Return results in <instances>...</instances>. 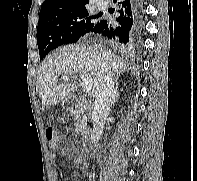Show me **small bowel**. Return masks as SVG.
Returning <instances> with one entry per match:
<instances>
[{"label":"small bowel","instance_id":"obj_1","mask_svg":"<svg viewBox=\"0 0 197 181\" xmlns=\"http://www.w3.org/2000/svg\"><path fill=\"white\" fill-rule=\"evenodd\" d=\"M71 153H72V150L70 148H64L62 150V155L65 156V157L71 155ZM55 159H56L55 154H52L51 155V161L55 162ZM81 161H82V159L80 157H75V159H74V162H75L76 165H79L81 163Z\"/></svg>","mask_w":197,"mask_h":181}]
</instances>
